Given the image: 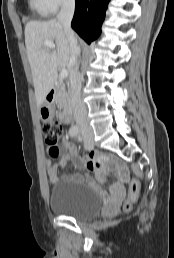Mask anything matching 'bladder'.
<instances>
[{"instance_id":"31cf9c89","label":"bladder","mask_w":174,"mask_h":258,"mask_svg":"<svg viewBox=\"0 0 174 258\" xmlns=\"http://www.w3.org/2000/svg\"><path fill=\"white\" fill-rule=\"evenodd\" d=\"M49 206L52 212L76 219L98 216L102 209L99 194L75 177L65 176L54 184Z\"/></svg>"}]
</instances>
